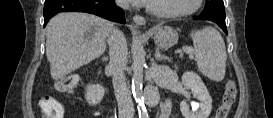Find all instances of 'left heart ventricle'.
I'll return each instance as SVG.
<instances>
[{
    "instance_id": "left-heart-ventricle-1",
    "label": "left heart ventricle",
    "mask_w": 273,
    "mask_h": 118,
    "mask_svg": "<svg viewBox=\"0 0 273 118\" xmlns=\"http://www.w3.org/2000/svg\"><path fill=\"white\" fill-rule=\"evenodd\" d=\"M194 0H155L151 5L158 11H184L192 7Z\"/></svg>"
}]
</instances>
